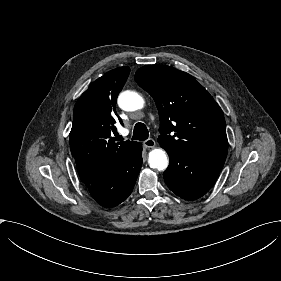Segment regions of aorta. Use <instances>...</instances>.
Instances as JSON below:
<instances>
[{"instance_id": "aorta-1", "label": "aorta", "mask_w": 281, "mask_h": 281, "mask_svg": "<svg viewBox=\"0 0 281 281\" xmlns=\"http://www.w3.org/2000/svg\"><path fill=\"white\" fill-rule=\"evenodd\" d=\"M144 99L135 91H124L118 96V105L124 111H136L144 107ZM148 164L151 168L163 171L168 167V157L161 148L149 152Z\"/></svg>"}]
</instances>
